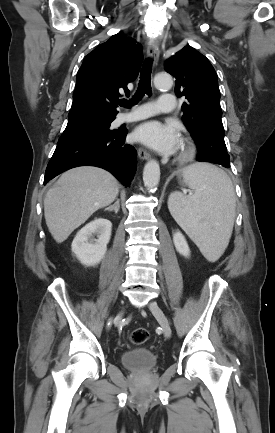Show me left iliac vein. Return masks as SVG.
Wrapping results in <instances>:
<instances>
[{"instance_id": "left-iliac-vein-1", "label": "left iliac vein", "mask_w": 275, "mask_h": 433, "mask_svg": "<svg viewBox=\"0 0 275 433\" xmlns=\"http://www.w3.org/2000/svg\"><path fill=\"white\" fill-rule=\"evenodd\" d=\"M149 309L162 327L165 337L169 338L171 336V327L162 309L155 302L149 304Z\"/></svg>"}]
</instances>
